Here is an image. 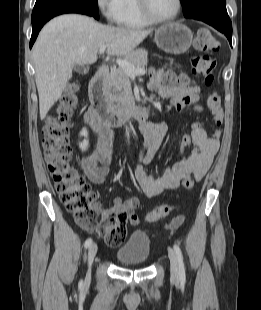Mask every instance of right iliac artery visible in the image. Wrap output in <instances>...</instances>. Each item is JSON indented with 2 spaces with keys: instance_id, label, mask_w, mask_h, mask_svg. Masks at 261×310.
I'll list each match as a JSON object with an SVG mask.
<instances>
[{
  "instance_id": "obj_1",
  "label": "right iliac artery",
  "mask_w": 261,
  "mask_h": 310,
  "mask_svg": "<svg viewBox=\"0 0 261 310\" xmlns=\"http://www.w3.org/2000/svg\"><path fill=\"white\" fill-rule=\"evenodd\" d=\"M92 244V239L91 238H88L86 241H85V248H88L90 245ZM82 284V281L80 282V285Z\"/></svg>"
}]
</instances>
